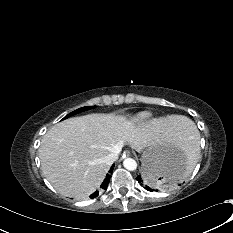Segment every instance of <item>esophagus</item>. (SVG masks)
Returning a JSON list of instances; mask_svg holds the SVG:
<instances>
[{"label": "esophagus", "instance_id": "esophagus-1", "mask_svg": "<svg viewBox=\"0 0 233 233\" xmlns=\"http://www.w3.org/2000/svg\"><path fill=\"white\" fill-rule=\"evenodd\" d=\"M123 155H124V156H129V155H130V152H129V151H125Z\"/></svg>", "mask_w": 233, "mask_h": 233}]
</instances>
